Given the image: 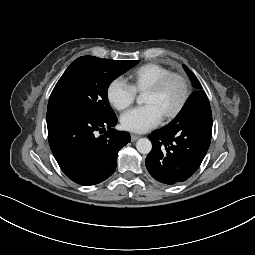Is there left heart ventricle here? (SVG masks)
<instances>
[{"instance_id": "obj_1", "label": "left heart ventricle", "mask_w": 255, "mask_h": 255, "mask_svg": "<svg viewBox=\"0 0 255 255\" xmlns=\"http://www.w3.org/2000/svg\"><path fill=\"white\" fill-rule=\"evenodd\" d=\"M182 95L181 81L178 78H172L160 91L156 93L146 92L143 101L145 104H154L164 116L179 104Z\"/></svg>"}]
</instances>
